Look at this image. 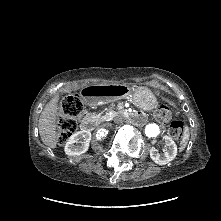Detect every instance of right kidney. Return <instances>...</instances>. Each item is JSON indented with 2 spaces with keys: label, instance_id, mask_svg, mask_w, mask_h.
Returning a JSON list of instances; mask_svg holds the SVG:
<instances>
[{
  "label": "right kidney",
  "instance_id": "1",
  "mask_svg": "<svg viewBox=\"0 0 221 221\" xmlns=\"http://www.w3.org/2000/svg\"><path fill=\"white\" fill-rule=\"evenodd\" d=\"M90 140L91 133L89 131H78L71 135L64 151L68 156H79L88 150Z\"/></svg>",
  "mask_w": 221,
  "mask_h": 221
}]
</instances>
